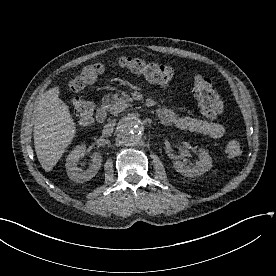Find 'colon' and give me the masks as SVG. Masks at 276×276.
I'll use <instances>...</instances> for the list:
<instances>
[{"label":"colon","mask_w":276,"mask_h":276,"mask_svg":"<svg viewBox=\"0 0 276 276\" xmlns=\"http://www.w3.org/2000/svg\"><path fill=\"white\" fill-rule=\"evenodd\" d=\"M118 66L127 69L135 74L143 76L150 82L165 85L170 82L175 73L174 70L156 62L145 61L140 58L124 56L118 60ZM104 64L95 63L85 67L82 72L74 78L70 87L73 91L79 92L96 82L99 76L105 71ZM194 93L199 101L202 112L209 118H216L222 111V101L216 93L211 81L202 76L194 79ZM72 109L80 125H89L93 120L94 104L83 98H76L72 102ZM242 153V146L237 139H229L224 146V155L233 159Z\"/></svg>","instance_id":"1"}]
</instances>
